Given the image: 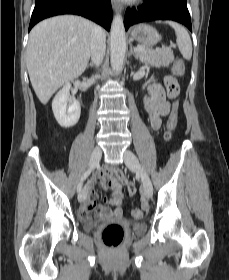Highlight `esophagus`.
<instances>
[{
  "label": "esophagus",
  "mask_w": 229,
  "mask_h": 280,
  "mask_svg": "<svg viewBox=\"0 0 229 280\" xmlns=\"http://www.w3.org/2000/svg\"><path fill=\"white\" fill-rule=\"evenodd\" d=\"M111 4H112V8L114 9V11H116V12L121 11L122 6L118 2V0H111Z\"/></svg>",
  "instance_id": "esophagus-1"
}]
</instances>
